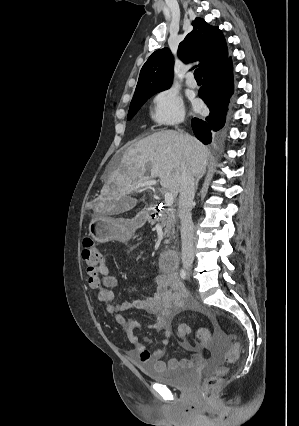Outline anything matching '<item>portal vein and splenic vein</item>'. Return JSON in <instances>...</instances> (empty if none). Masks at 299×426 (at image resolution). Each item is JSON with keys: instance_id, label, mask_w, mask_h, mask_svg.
<instances>
[{"instance_id": "obj_1", "label": "portal vein and splenic vein", "mask_w": 299, "mask_h": 426, "mask_svg": "<svg viewBox=\"0 0 299 426\" xmlns=\"http://www.w3.org/2000/svg\"><path fill=\"white\" fill-rule=\"evenodd\" d=\"M156 184H157L156 180H148V181H144V182L140 183L137 186V188L153 186V185H156ZM164 200H165V203L167 205L173 204V202H174L173 194L171 192L165 191V193H164Z\"/></svg>"}]
</instances>
